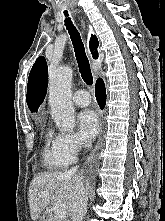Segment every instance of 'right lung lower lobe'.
<instances>
[{"label": "right lung lower lobe", "mask_w": 165, "mask_h": 221, "mask_svg": "<svg viewBox=\"0 0 165 221\" xmlns=\"http://www.w3.org/2000/svg\"><path fill=\"white\" fill-rule=\"evenodd\" d=\"M96 99L101 108L105 106L106 90L102 79H98L95 86Z\"/></svg>", "instance_id": "obj_1"}]
</instances>
